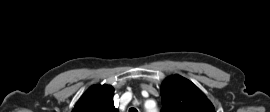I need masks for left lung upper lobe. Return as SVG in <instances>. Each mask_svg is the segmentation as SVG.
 <instances>
[{"mask_svg":"<svg viewBox=\"0 0 270 112\" xmlns=\"http://www.w3.org/2000/svg\"><path fill=\"white\" fill-rule=\"evenodd\" d=\"M161 112H215L212 103L189 80L174 75L161 87Z\"/></svg>","mask_w":270,"mask_h":112,"instance_id":"obj_1","label":"left lung upper lobe"}]
</instances>
